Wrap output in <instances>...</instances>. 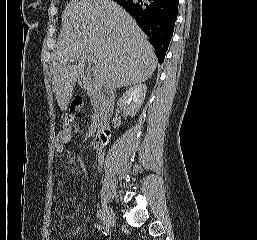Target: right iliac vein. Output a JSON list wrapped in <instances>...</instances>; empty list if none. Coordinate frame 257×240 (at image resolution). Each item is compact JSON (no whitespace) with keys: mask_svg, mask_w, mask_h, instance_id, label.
Listing matches in <instances>:
<instances>
[{"mask_svg":"<svg viewBox=\"0 0 257 240\" xmlns=\"http://www.w3.org/2000/svg\"><path fill=\"white\" fill-rule=\"evenodd\" d=\"M102 210H103L105 222L108 225H113L115 223V213H114L113 209L108 204L103 202Z\"/></svg>","mask_w":257,"mask_h":240,"instance_id":"right-iliac-vein-1","label":"right iliac vein"}]
</instances>
